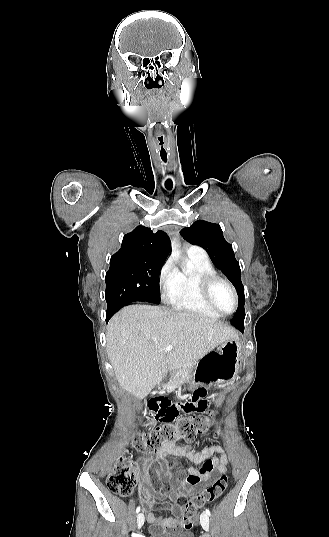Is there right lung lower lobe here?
I'll use <instances>...</instances> for the list:
<instances>
[{
  "label": "right lung lower lobe",
  "mask_w": 329,
  "mask_h": 537,
  "mask_svg": "<svg viewBox=\"0 0 329 537\" xmlns=\"http://www.w3.org/2000/svg\"><path fill=\"white\" fill-rule=\"evenodd\" d=\"M114 314V313H113ZM112 313L110 312H106V322H108V320L111 318V316L113 315Z\"/></svg>",
  "instance_id": "right-lung-lower-lobe-1"
}]
</instances>
